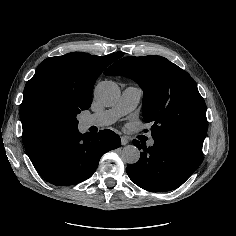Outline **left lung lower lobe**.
<instances>
[{
    "instance_id": "obj_1",
    "label": "left lung lower lobe",
    "mask_w": 236,
    "mask_h": 236,
    "mask_svg": "<svg viewBox=\"0 0 236 236\" xmlns=\"http://www.w3.org/2000/svg\"><path fill=\"white\" fill-rule=\"evenodd\" d=\"M154 144L146 147L133 140L139 149L138 162L127 166V174L139 187L155 192H165L181 186L199 167L203 160L202 148L165 135L153 137Z\"/></svg>"
}]
</instances>
